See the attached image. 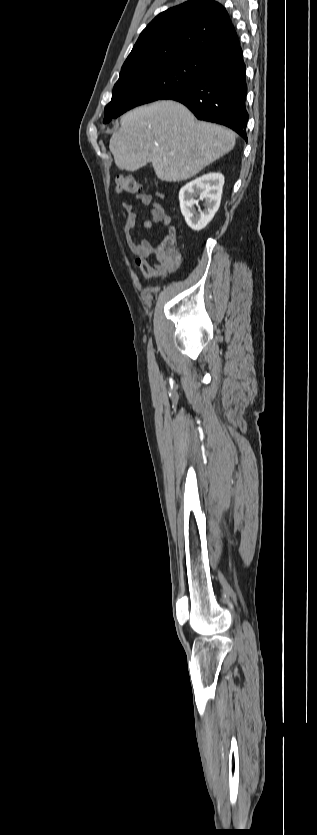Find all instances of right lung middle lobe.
Here are the masks:
<instances>
[{
    "mask_svg": "<svg viewBox=\"0 0 317 835\" xmlns=\"http://www.w3.org/2000/svg\"><path fill=\"white\" fill-rule=\"evenodd\" d=\"M204 77L195 56L141 68L120 76L112 100L105 107L104 123L127 110L161 99L172 91Z\"/></svg>",
    "mask_w": 317,
    "mask_h": 835,
    "instance_id": "right-lung-middle-lobe-1",
    "label": "right lung middle lobe"
}]
</instances>
